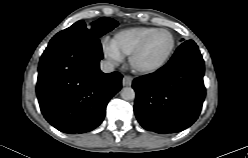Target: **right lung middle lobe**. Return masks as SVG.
<instances>
[{
  "label": "right lung middle lobe",
  "mask_w": 248,
  "mask_h": 158,
  "mask_svg": "<svg viewBox=\"0 0 248 158\" xmlns=\"http://www.w3.org/2000/svg\"><path fill=\"white\" fill-rule=\"evenodd\" d=\"M118 26V22L114 19L102 17L96 21H94L90 28L86 27V24L80 20L74 23L69 28L59 32L56 36H80V35H87L92 37H101L102 35L106 34L107 32L111 31L113 28Z\"/></svg>",
  "instance_id": "1"
}]
</instances>
